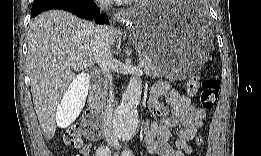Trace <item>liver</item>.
<instances>
[{"label":"liver","mask_w":261,"mask_h":156,"mask_svg":"<svg viewBox=\"0 0 261 156\" xmlns=\"http://www.w3.org/2000/svg\"><path fill=\"white\" fill-rule=\"evenodd\" d=\"M94 24L62 10L35 17L27 32V63L34 108L47 140L56 126L65 128L80 112L83 101L72 100V115L65 118L63 107L69 87L80 72L95 63L92 45ZM108 42H115V30L108 27ZM75 64L76 67H69Z\"/></svg>","instance_id":"obj_1"}]
</instances>
